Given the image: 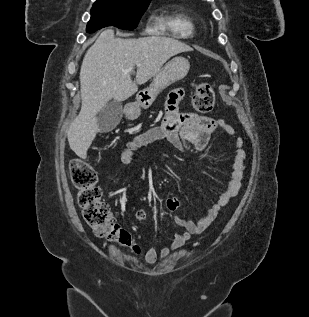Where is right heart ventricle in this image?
Masks as SVG:
<instances>
[{
	"mask_svg": "<svg viewBox=\"0 0 309 317\" xmlns=\"http://www.w3.org/2000/svg\"><path fill=\"white\" fill-rule=\"evenodd\" d=\"M170 28L177 34L183 37L193 35L195 31V24L193 20L187 15H178L169 22Z\"/></svg>",
	"mask_w": 309,
	"mask_h": 317,
	"instance_id": "e07e8e85",
	"label": "right heart ventricle"
}]
</instances>
